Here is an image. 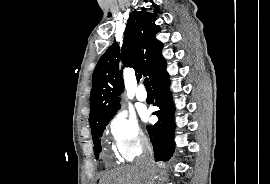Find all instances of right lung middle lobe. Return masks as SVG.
Wrapping results in <instances>:
<instances>
[{
    "label": "right lung middle lobe",
    "mask_w": 270,
    "mask_h": 184,
    "mask_svg": "<svg viewBox=\"0 0 270 184\" xmlns=\"http://www.w3.org/2000/svg\"><path fill=\"white\" fill-rule=\"evenodd\" d=\"M110 120L111 119L104 120L91 125L92 139L94 144V154L97 159L99 157V152L101 151V143H100L101 137L105 129V126L109 123Z\"/></svg>",
    "instance_id": "obj_1"
}]
</instances>
